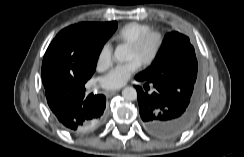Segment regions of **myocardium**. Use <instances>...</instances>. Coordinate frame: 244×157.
Wrapping results in <instances>:
<instances>
[{"instance_id": "f54148a6", "label": "myocardium", "mask_w": 244, "mask_h": 157, "mask_svg": "<svg viewBox=\"0 0 244 157\" xmlns=\"http://www.w3.org/2000/svg\"><path fill=\"white\" fill-rule=\"evenodd\" d=\"M154 38L156 40V45L151 52V54L145 58L142 62L141 65L143 66H149L152 63L156 61V59L159 57L163 46L165 44V35L161 31L157 30H151L149 32H146L142 34L140 37H138L135 41H133L130 45L129 48L133 50H139L141 49L148 40Z\"/></svg>"}]
</instances>
